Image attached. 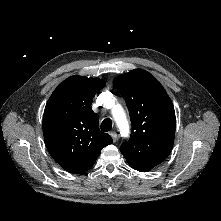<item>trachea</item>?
Masks as SVG:
<instances>
[{"mask_svg":"<svg viewBox=\"0 0 221 221\" xmlns=\"http://www.w3.org/2000/svg\"><path fill=\"white\" fill-rule=\"evenodd\" d=\"M101 130L103 132H108L112 129V121L110 118H106L102 121L101 126H100Z\"/></svg>","mask_w":221,"mask_h":221,"instance_id":"obj_1","label":"trachea"}]
</instances>
